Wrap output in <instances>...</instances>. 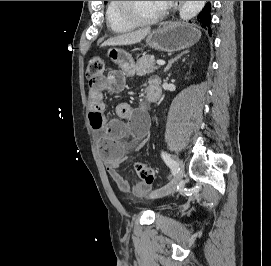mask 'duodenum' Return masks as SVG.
I'll return each mask as SVG.
<instances>
[{
	"label": "duodenum",
	"mask_w": 271,
	"mask_h": 266,
	"mask_svg": "<svg viewBox=\"0 0 271 266\" xmlns=\"http://www.w3.org/2000/svg\"><path fill=\"white\" fill-rule=\"evenodd\" d=\"M161 91L158 85L152 83L147 89V99L152 102L157 100L160 97Z\"/></svg>",
	"instance_id": "obj_1"
}]
</instances>
